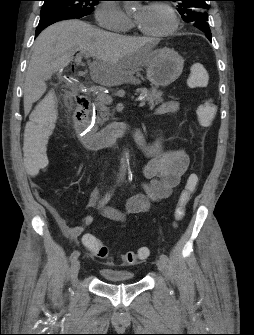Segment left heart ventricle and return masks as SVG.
Masks as SVG:
<instances>
[{
	"mask_svg": "<svg viewBox=\"0 0 254 335\" xmlns=\"http://www.w3.org/2000/svg\"><path fill=\"white\" fill-rule=\"evenodd\" d=\"M137 24L146 32L160 33L170 28L172 19L169 13L162 7L152 4L139 7L135 14Z\"/></svg>",
	"mask_w": 254,
	"mask_h": 335,
	"instance_id": "1",
	"label": "left heart ventricle"
}]
</instances>
